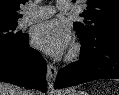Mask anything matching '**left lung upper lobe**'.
<instances>
[{
    "instance_id": "1",
    "label": "left lung upper lobe",
    "mask_w": 119,
    "mask_h": 95,
    "mask_svg": "<svg viewBox=\"0 0 119 95\" xmlns=\"http://www.w3.org/2000/svg\"><path fill=\"white\" fill-rule=\"evenodd\" d=\"M85 2L87 8L80 14L85 20L74 23L81 43L89 44L97 39L119 38V0H85Z\"/></svg>"
}]
</instances>
